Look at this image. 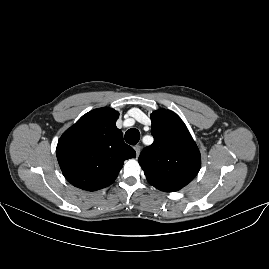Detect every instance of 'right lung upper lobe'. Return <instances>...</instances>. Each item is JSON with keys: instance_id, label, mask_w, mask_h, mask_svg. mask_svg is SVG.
Listing matches in <instances>:
<instances>
[{"instance_id": "obj_1", "label": "right lung upper lobe", "mask_w": 269, "mask_h": 269, "mask_svg": "<svg viewBox=\"0 0 269 269\" xmlns=\"http://www.w3.org/2000/svg\"><path fill=\"white\" fill-rule=\"evenodd\" d=\"M119 112L99 108L83 115L59 139L56 155L66 179L75 187L96 191L112 184L124 161L136 157L116 127Z\"/></svg>"}]
</instances>
